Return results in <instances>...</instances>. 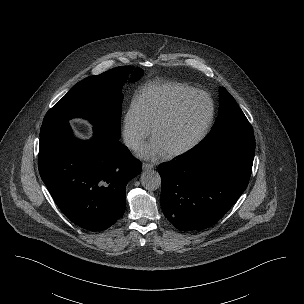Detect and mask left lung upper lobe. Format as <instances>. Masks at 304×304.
<instances>
[{
    "label": "left lung upper lobe",
    "mask_w": 304,
    "mask_h": 304,
    "mask_svg": "<svg viewBox=\"0 0 304 304\" xmlns=\"http://www.w3.org/2000/svg\"><path fill=\"white\" fill-rule=\"evenodd\" d=\"M236 135H254V133L251 124L234 98L224 87H222L220 89L218 119L212 132L200 145V147L209 145L210 143L216 142L223 138Z\"/></svg>",
    "instance_id": "5c2ea615"
}]
</instances>
